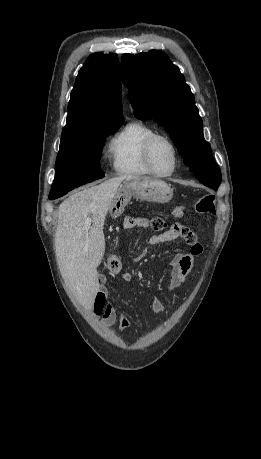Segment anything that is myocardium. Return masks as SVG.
I'll use <instances>...</instances> for the list:
<instances>
[{
    "instance_id": "1",
    "label": "myocardium",
    "mask_w": 261,
    "mask_h": 459,
    "mask_svg": "<svg viewBox=\"0 0 261 459\" xmlns=\"http://www.w3.org/2000/svg\"><path fill=\"white\" fill-rule=\"evenodd\" d=\"M160 140H163L166 143H168V145L172 149L173 156H174L173 168L168 173H159L158 171H156L154 166H153V162H152V153H153L154 145ZM144 161H145V164L148 167L149 171L154 176L160 177V178H166V177L172 176L176 172V170H177V168L179 166V162H180L178 148H177L175 142L168 135L156 133V134L152 135L151 137H149L148 140L145 143V146H144Z\"/></svg>"
}]
</instances>
